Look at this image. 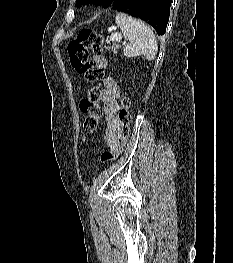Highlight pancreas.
Wrapping results in <instances>:
<instances>
[{"label":"pancreas","instance_id":"cf45deb5","mask_svg":"<svg viewBox=\"0 0 233 263\" xmlns=\"http://www.w3.org/2000/svg\"><path fill=\"white\" fill-rule=\"evenodd\" d=\"M121 48V45L113 43L111 47H106L107 50H111L115 55L118 53V50Z\"/></svg>","mask_w":233,"mask_h":263}]
</instances>
